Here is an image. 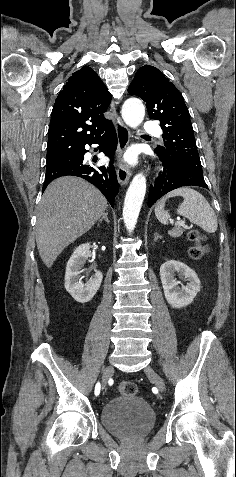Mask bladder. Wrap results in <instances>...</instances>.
<instances>
[{
	"instance_id": "31cf9c89",
	"label": "bladder",
	"mask_w": 236,
	"mask_h": 477,
	"mask_svg": "<svg viewBox=\"0 0 236 477\" xmlns=\"http://www.w3.org/2000/svg\"><path fill=\"white\" fill-rule=\"evenodd\" d=\"M101 420L111 434L125 439H142L154 428L156 414L140 396L117 395L101 408Z\"/></svg>"
}]
</instances>
